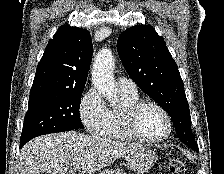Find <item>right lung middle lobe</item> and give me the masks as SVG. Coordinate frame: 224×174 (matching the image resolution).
Here are the masks:
<instances>
[{
  "instance_id": "1",
  "label": "right lung middle lobe",
  "mask_w": 224,
  "mask_h": 174,
  "mask_svg": "<svg viewBox=\"0 0 224 174\" xmlns=\"http://www.w3.org/2000/svg\"><path fill=\"white\" fill-rule=\"evenodd\" d=\"M81 95L82 92L30 96L21 142L44 134L83 128L79 115Z\"/></svg>"
}]
</instances>
